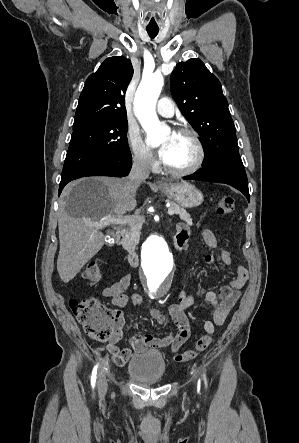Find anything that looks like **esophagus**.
I'll return each instance as SVG.
<instances>
[{
	"instance_id": "esophagus-1",
	"label": "esophagus",
	"mask_w": 299,
	"mask_h": 443,
	"mask_svg": "<svg viewBox=\"0 0 299 443\" xmlns=\"http://www.w3.org/2000/svg\"><path fill=\"white\" fill-rule=\"evenodd\" d=\"M156 184L161 185V184H162V181L157 180V181H156Z\"/></svg>"
}]
</instances>
